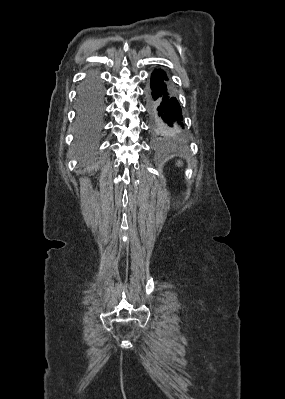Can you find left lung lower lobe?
Returning <instances> with one entry per match:
<instances>
[{
  "label": "left lung lower lobe",
  "instance_id": "0a47b994",
  "mask_svg": "<svg viewBox=\"0 0 285 399\" xmlns=\"http://www.w3.org/2000/svg\"><path fill=\"white\" fill-rule=\"evenodd\" d=\"M164 71L152 73L147 93L148 110L154 133L165 139H183L181 108L174 97Z\"/></svg>",
  "mask_w": 285,
  "mask_h": 399
}]
</instances>
